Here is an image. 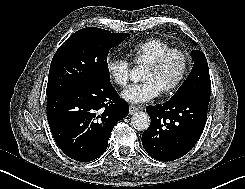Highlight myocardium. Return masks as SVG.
Here are the masks:
<instances>
[{
	"mask_svg": "<svg viewBox=\"0 0 245 189\" xmlns=\"http://www.w3.org/2000/svg\"><path fill=\"white\" fill-rule=\"evenodd\" d=\"M174 55L181 58L183 64L182 71L178 76V78L172 84L168 85L162 90L163 93H171L176 91L185 81L189 72V65H190L188 55L180 49L169 48L163 51L162 53H160L158 56H156L153 60H151L145 65V67L149 69L158 70L163 66V64L167 61L168 58Z\"/></svg>",
	"mask_w": 245,
	"mask_h": 189,
	"instance_id": "1",
	"label": "myocardium"
}]
</instances>
